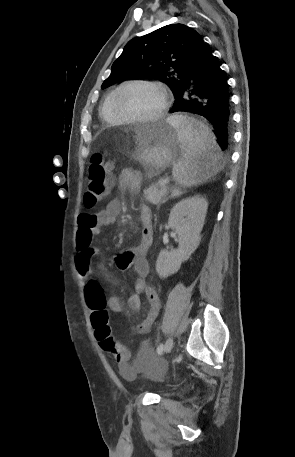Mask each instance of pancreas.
Here are the masks:
<instances>
[{"mask_svg":"<svg viewBox=\"0 0 295 457\" xmlns=\"http://www.w3.org/2000/svg\"><path fill=\"white\" fill-rule=\"evenodd\" d=\"M167 186H161L160 181L144 190L145 200L153 204H160L167 195Z\"/></svg>","mask_w":295,"mask_h":457,"instance_id":"pancreas-1","label":"pancreas"}]
</instances>
